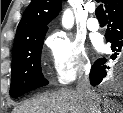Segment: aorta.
Listing matches in <instances>:
<instances>
[{"mask_svg":"<svg viewBox=\"0 0 123 113\" xmlns=\"http://www.w3.org/2000/svg\"><path fill=\"white\" fill-rule=\"evenodd\" d=\"M74 24V16L70 9H66L62 16V25L66 29H70Z\"/></svg>","mask_w":123,"mask_h":113,"instance_id":"1","label":"aorta"}]
</instances>
